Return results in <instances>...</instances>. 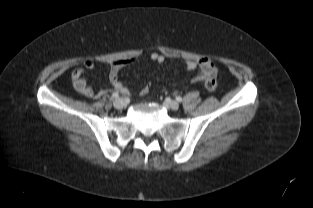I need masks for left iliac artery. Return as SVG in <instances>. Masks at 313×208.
Wrapping results in <instances>:
<instances>
[{
    "label": "left iliac artery",
    "mask_w": 313,
    "mask_h": 208,
    "mask_svg": "<svg viewBox=\"0 0 313 208\" xmlns=\"http://www.w3.org/2000/svg\"><path fill=\"white\" fill-rule=\"evenodd\" d=\"M176 100H177L178 102H182V97L177 96V97H176Z\"/></svg>",
    "instance_id": "obj_1"
}]
</instances>
